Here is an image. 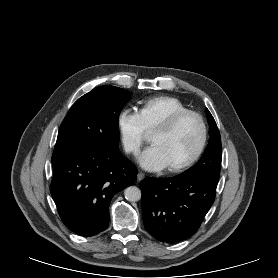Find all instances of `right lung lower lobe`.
<instances>
[{
  "label": "right lung lower lobe",
  "instance_id": "right-lung-lower-lobe-1",
  "mask_svg": "<svg viewBox=\"0 0 278 278\" xmlns=\"http://www.w3.org/2000/svg\"><path fill=\"white\" fill-rule=\"evenodd\" d=\"M52 198L63 223L81 236H93L109 224V204L131 186L136 168L118 147H92L52 157Z\"/></svg>",
  "mask_w": 278,
  "mask_h": 278
}]
</instances>
